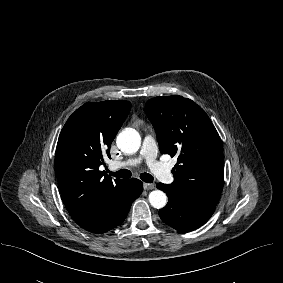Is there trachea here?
Wrapping results in <instances>:
<instances>
[{"mask_svg": "<svg viewBox=\"0 0 283 283\" xmlns=\"http://www.w3.org/2000/svg\"><path fill=\"white\" fill-rule=\"evenodd\" d=\"M109 174L111 176H114V177H118V178H124V179H128L131 177V171L127 170V169H122V170H119L117 172H111L109 171ZM140 178L146 182V183H151L153 182L154 178L152 177V175H150L149 173H142L140 175Z\"/></svg>", "mask_w": 283, "mask_h": 283, "instance_id": "3493384b", "label": "trachea"}]
</instances>
